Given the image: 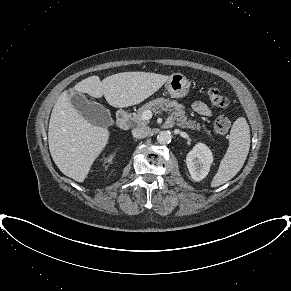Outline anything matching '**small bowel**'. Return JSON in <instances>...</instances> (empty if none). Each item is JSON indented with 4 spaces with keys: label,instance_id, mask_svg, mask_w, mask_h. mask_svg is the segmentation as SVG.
I'll use <instances>...</instances> for the list:
<instances>
[{
    "label": "small bowel",
    "instance_id": "1",
    "mask_svg": "<svg viewBox=\"0 0 291 291\" xmlns=\"http://www.w3.org/2000/svg\"><path fill=\"white\" fill-rule=\"evenodd\" d=\"M193 110L199 115L210 117L212 116V111L208 105L202 101H196L192 105Z\"/></svg>",
    "mask_w": 291,
    "mask_h": 291
}]
</instances>
